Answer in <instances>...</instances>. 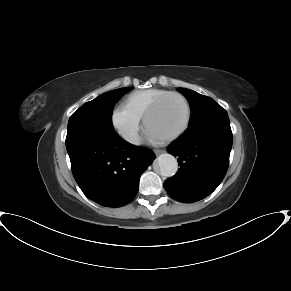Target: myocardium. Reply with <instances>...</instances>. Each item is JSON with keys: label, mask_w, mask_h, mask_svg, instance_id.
I'll list each match as a JSON object with an SVG mask.
<instances>
[{"label": "myocardium", "mask_w": 291, "mask_h": 291, "mask_svg": "<svg viewBox=\"0 0 291 291\" xmlns=\"http://www.w3.org/2000/svg\"><path fill=\"white\" fill-rule=\"evenodd\" d=\"M172 96L178 97L183 101V103L185 105V109H186V118H185L184 124L173 134L162 138L163 141H171V140H174V139L180 137L181 135H183L187 131V129L189 128L190 123H191L192 111H191L190 103L187 100V98L179 92H168V93L162 95L161 97H159L150 106V108L146 111V113L144 115L145 126L148 127V122H149V119L151 118V116L158 110V108L163 104V102L167 98L172 97Z\"/></svg>", "instance_id": "f54148a6"}]
</instances>
